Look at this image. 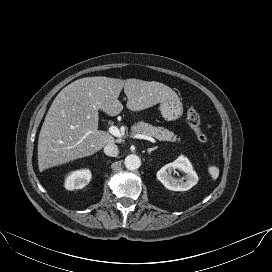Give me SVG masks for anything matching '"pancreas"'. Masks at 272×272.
<instances>
[{"mask_svg":"<svg viewBox=\"0 0 272 272\" xmlns=\"http://www.w3.org/2000/svg\"><path fill=\"white\" fill-rule=\"evenodd\" d=\"M131 130L132 133L151 136L160 141H181L180 137L178 138L177 135H175L172 131H169L168 129H165L163 127H155L145 122H138L137 124L132 126Z\"/></svg>","mask_w":272,"mask_h":272,"instance_id":"obj_1","label":"pancreas"}]
</instances>
